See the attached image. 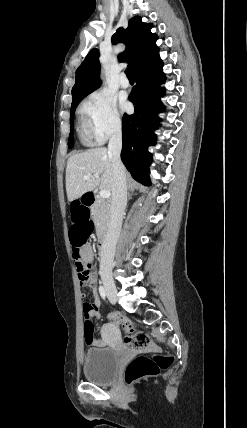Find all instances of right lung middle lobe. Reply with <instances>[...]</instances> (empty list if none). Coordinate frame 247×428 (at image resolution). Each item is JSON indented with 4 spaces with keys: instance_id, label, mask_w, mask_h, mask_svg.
<instances>
[{
    "instance_id": "dd1d6c3e",
    "label": "right lung middle lobe",
    "mask_w": 247,
    "mask_h": 428,
    "mask_svg": "<svg viewBox=\"0 0 247 428\" xmlns=\"http://www.w3.org/2000/svg\"><path fill=\"white\" fill-rule=\"evenodd\" d=\"M79 102L71 105V110H70V134H69V140H68V146H69V148L73 147V119H74L75 109H76L77 105L79 104Z\"/></svg>"
}]
</instances>
